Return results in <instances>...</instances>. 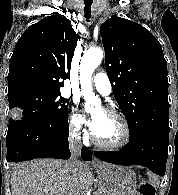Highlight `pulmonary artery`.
Returning <instances> with one entry per match:
<instances>
[{
  "instance_id": "obj_1",
  "label": "pulmonary artery",
  "mask_w": 178,
  "mask_h": 195,
  "mask_svg": "<svg viewBox=\"0 0 178 195\" xmlns=\"http://www.w3.org/2000/svg\"><path fill=\"white\" fill-rule=\"evenodd\" d=\"M93 85L104 96H108L112 92L111 82L105 73H97L93 78Z\"/></svg>"
}]
</instances>
